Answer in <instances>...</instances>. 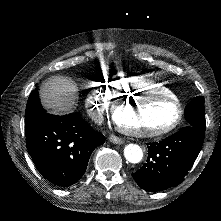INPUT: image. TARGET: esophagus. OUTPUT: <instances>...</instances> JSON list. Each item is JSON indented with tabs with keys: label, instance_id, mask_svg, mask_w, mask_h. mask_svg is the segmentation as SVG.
<instances>
[{
	"label": "esophagus",
	"instance_id": "1",
	"mask_svg": "<svg viewBox=\"0 0 221 221\" xmlns=\"http://www.w3.org/2000/svg\"><path fill=\"white\" fill-rule=\"evenodd\" d=\"M109 141L114 143V144H123L125 143V141L121 138H119L118 136L115 135H110L109 136Z\"/></svg>",
	"mask_w": 221,
	"mask_h": 221
}]
</instances>
